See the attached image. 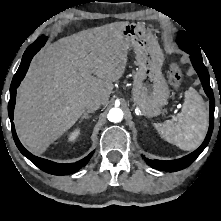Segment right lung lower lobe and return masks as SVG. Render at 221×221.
Here are the masks:
<instances>
[{
    "instance_id": "right-lung-lower-lobe-1",
    "label": "right lung lower lobe",
    "mask_w": 221,
    "mask_h": 221,
    "mask_svg": "<svg viewBox=\"0 0 221 221\" xmlns=\"http://www.w3.org/2000/svg\"><path fill=\"white\" fill-rule=\"evenodd\" d=\"M46 40H47L46 36L39 37L32 45H30L26 49V51L22 57L21 64L12 79V83H11V87H10V100H9V104H8V114H9V118H10L11 125H12L13 138H14L15 144L18 147V149L20 150V152L24 156H26L32 163H34L38 168H40L41 170H43L49 174L68 175V174L76 172L77 170H79L83 166H85L88 163L89 159L92 157L93 152H91L88 156L81 159L80 161L75 162V163H70V164H60V163L52 162V161H49V160H46L43 158L36 157V156L32 155L29 151H27L23 147V145L20 143V141L17 137V134L15 132L14 123L12 121L13 120V111H14V106H15V99H16V88L19 86L20 82L24 78V76L28 70V67H29L32 57L45 44Z\"/></svg>"
}]
</instances>
